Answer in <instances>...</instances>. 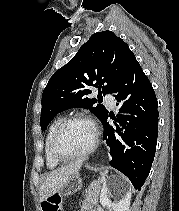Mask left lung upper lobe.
Returning a JSON list of instances; mask_svg holds the SVG:
<instances>
[{
	"mask_svg": "<svg viewBox=\"0 0 179 211\" xmlns=\"http://www.w3.org/2000/svg\"><path fill=\"white\" fill-rule=\"evenodd\" d=\"M129 46L111 31L94 33L77 54L50 78L42 94L40 125L45 130L50 121L69 108L89 109L102 122L106 108L87 97L98 88V94L111 93L129 56ZM99 102V100H98Z\"/></svg>",
	"mask_w": 179,
	"mask_h": 211,
	"instance_id": "5c2ea615",
	"label": "left lung upper lobe"
}]
</instances>
